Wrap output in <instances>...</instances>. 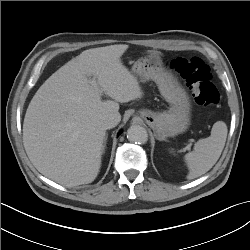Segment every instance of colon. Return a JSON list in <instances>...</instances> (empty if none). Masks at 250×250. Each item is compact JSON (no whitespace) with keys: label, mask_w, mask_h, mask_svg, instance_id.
I'll list each match as a JSON object with an SVG mask.
<instances>
[{"label":"colon","mask_w":250,"mask_h":250,"mask_svg":"<svg viewBox=\"0 0 250 250\" xmlns=\"http://www.w3.org/2000/svg\"><path fill=\"white\" fill-rule=\"evenodd\" d=\"M171 67L185 80L195 101L202 106H215L219 93L212 82L209 67L198 57L176 58Z\"/></svg>","instance_id":"colon-1"}]
</instances>
